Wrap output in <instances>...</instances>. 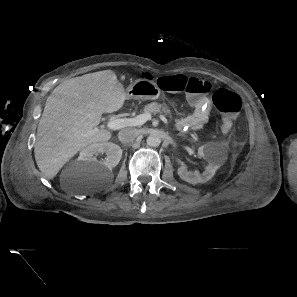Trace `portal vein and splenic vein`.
<instances>
[{
  "label": "portal vein and splenic vein",
  "instance_id": "18ae733b",
  "mask_svg": "<svg viewBox=\"0 0 297 297\" xmlns=\"http://www.w3.org/2000/svg\"><path fill=\"white\" fill-rule=\"evenodd\" d=\"M159 118L165 123L168 124V120L164 115H159ZM151 119V115L144 113L138 115L134 118H120V119H113L107 122V128L111 130H119L127 126H139L146 123L148 120Z\"/></svg>",
  "mask_w": 297,
  "mask_h": 297
}]
</instances>
